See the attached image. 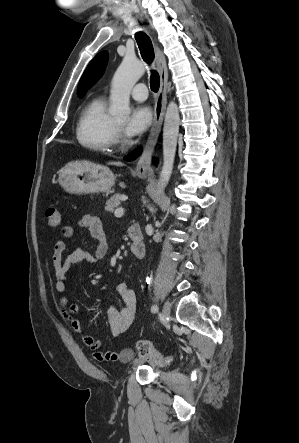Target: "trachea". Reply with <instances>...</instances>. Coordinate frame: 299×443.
<instances>
[{
    "mask_svg": "<svg viewBox=\"0 0 299 443\" xmlns=\"http://www.w3.org/2000/svg\"><path fill=\"white\" fill-rule=\"evenodd\" d=\"M135 39L137 41L141 56L143 60L151 65L154 60V49L152 41L149 36L145 33L138 32L135 34ZM160 86V77L157 71L151 70L150 76V88L153 92H157Z\"/></svg>",
    "mask_w": 299,
    "mask_h": 443,
    "instance_id": "3493384b",
    "label": "trachea"
}]
</instances>
